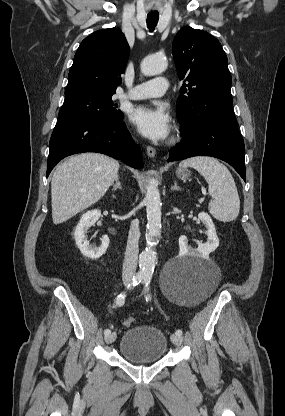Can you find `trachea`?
Returning a JSON list of instances; mask_svg holds the SVG:
<instances>
[{"mask_svg":"<svg viewBox=\"0 0 285 416\" xmlns=\"http://www.w3.org/2000/svg\"><path fill=\"white\" fill-rule=\"evenodd\" d=\"M159 13H148L146 23L149 31H153L158 23Z\"/></svg>","mask_w":285,"mask_h":416,"instance_id":"obj_1","label":"trachea"}]
</instances>
